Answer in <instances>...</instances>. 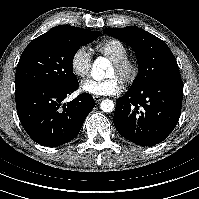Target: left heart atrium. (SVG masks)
<instances>
[{
    "label": "left heart atrium",
    "mask_w": 199,
    "mask_h": 199,
    "mask_svg": "<svg viewBox=\"0 0 199 199\" xmlns=\"http://www.w3.org/2000/svg\"><path fill=\"white\" fill-rule=\"evenodd\" d=\"M81 89L96 96L115 95L122 90V82L115 75L105 80L87 79L81 84Z\"/></svg>",
    "instance_id": "obj_1"
}]
</instances>
